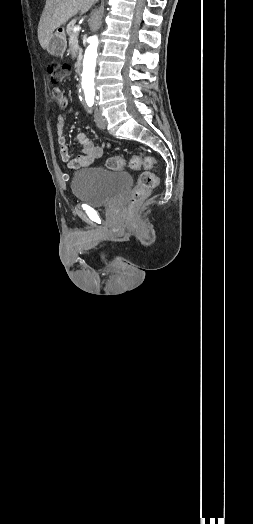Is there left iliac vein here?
Here are the masks:
<instances>
[{
    "instance_id": "1",
    "label": "left iliac vein",
    "mask_w": 253,
    "mask_h": 524,
    "mask_svg": "<svg viewBox=\"0 0 253 524\" xmlns=\"http://www.w3.org/2000/svg\"><path fill=\"white\" fill-rule=\"evenodd\" d=\"M95 123L98 128L105 129L106 128V120L103 116H101L97 111L94 113Z\"/></svg>"
}]
</instances>
